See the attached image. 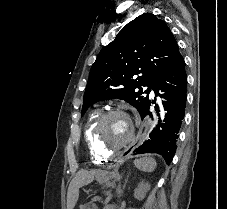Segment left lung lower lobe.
<instances>
[{
  "label": "left lung lower lobe",
  "instance_id": "left-lung-lower-lobe-1",
  "mask_svg": "<svg viewBox=\"0 0 227 209\" xmlns=\"http://www.w3.org/2000/svg\"><path fill=\"white\" fill-rule=\"evenodd\" d=\"M186 88L185 62L182 55L179 54L154 90L155 96L167 100L163 101L164 108L167 111L163 120L164 123H160L159 119V123L151 132L149 139L134 150L136 154L159 153L168 164L172 161L177 148L179 128L185 115ZM159 91L164 93L161 94ZM151 103L154 104V101H149L146 108L140 113L142 119L147 115L152 116L149 110Z\"/></svg>",
  "mask_w": 227,
  "mask_h": 209
}]
</instances>
